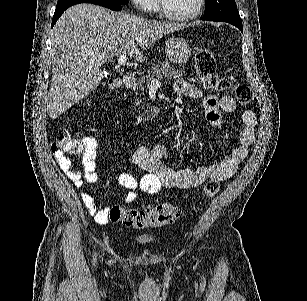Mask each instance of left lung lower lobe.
Instances as JSON below:
<instances>
[{"instance_id": "1", "label": "left lung lower lobe", "mask_w": 307, "mask_h": 301, "mask_svg": "<svg viewBox=\"0 0 307 301\" xmlns=\"http://www.w3.org/2000/svg\"><path fill=\"white\" fill-rule=\"evenodd\" d=\"M233 25L236 26L241 32H243L242 23H237V24H233Z\"/></svg>"}]
</instances>
